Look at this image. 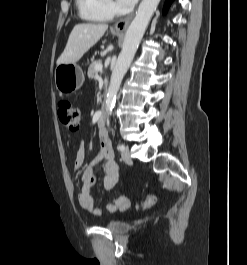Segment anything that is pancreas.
Listing matches in <instances>:
<instances>
[{
  "label": "pancreas",
  "mask_w": 247,
  "mask_h": 265,
  "mask_svg": "<svg viewBox=\"0 0 247 265\" xmlns=\"http://www.w3.org/2000/svg\"><path fill=\"white\" fill-rule=\"evenodd\" d=\"M97 65H102L101 60L93 61V62L90 64V66H89V68H88V73H87V75H88V77H89L90 79H92V78H96V77L98 76V71L96 70V66H97Z\"/></svg>",
  "instance_id": "cf45deb5"
}]
</instances>
